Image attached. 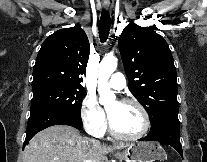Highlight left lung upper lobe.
Wrapping results in <instances>:
<instances>
[{"label":"left lung upper lobe","instance_id":"obj_1","mask_svg":"<svg viewBox=\"0 0 207 162\" xmlns=\"http://www.w3.org/2000/svg\"><path fill=\"white\" fill-rule=\"evenodd\" d=\"M119 50L129 89L150 121L166 112H178L177 74L164 38L131 22L119 37Z\"/></svg>","mask_w":207,"mask_h":162}]
</instances>
